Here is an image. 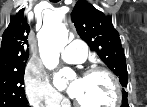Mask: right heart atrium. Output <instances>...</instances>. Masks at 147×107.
<instances>
[{
    "label": "right heart atrium",
    "mask_w": 147,
    "mask_h": 107,
    "mask_svg": "<svg viewBox=\"0 0 147 107\" xmlns=\"http://www.w3.org/2000/svg\"><path fill=\"white\" fill-rule=\"evenodd\" d=\"M25 91L33 106L57 107L62 103L60 93L50 85L46 74L33 66L25 72Z\"/></svg>",
    "instance_id": "1"
}]
</instances>
